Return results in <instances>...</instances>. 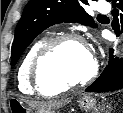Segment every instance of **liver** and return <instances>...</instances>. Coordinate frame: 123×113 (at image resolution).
I'll use <instances>...</instances> for the list:
<instances>
[{"instance_id": "obj_1", "label": "liver", "mask_w": 123, "mask_h": 113, "mask_svg": "<svg viewBox=\"0 0 123 113\" xmlns=\"http://www.w3.org/2000/svg\"><path fill=\"white\" fill-rule=\"evenodd\" d=\"M69 102V99H61L57 101L43 102L34 104L40 112L45 113L53 109L59 108L63 105H66Z\"/></svg>"}]
</instances>
